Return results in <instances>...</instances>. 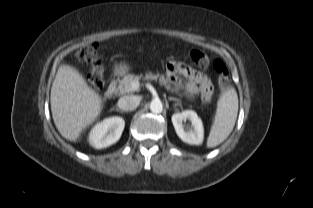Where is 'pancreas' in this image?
<instances>
[{
  "label": "pancreas",
  "instance_id": "1",
  "mask_svg": "<svg viewBox=\"0 0 313 208\" xmlns=\"http://www.w3.org/2000/svg\"><path fill=\"white\" fill-rule=\"evenodd\" d=\"M141 78V76H135L133 74H128L125 75L121 80H119V85L115 91L117 95H124L126 93L134 92V91H139V88H133L132 83L135 81H138ZM146 79L149 80H159V83L162 85H165L167 89H170V86L167 85V81L165 80V77L163 75L159 74H152L148 73L146 74Z\"/></svg>",
  "mask_w": 313,
  "mask_h": 208
}]
</instances>
